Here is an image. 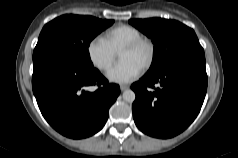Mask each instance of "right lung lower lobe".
Returning a JSON list of instances; mask_svg holds the SVG:
<instances>
[{
	"label": "right lung lower lobe",
	"instance_id": "1",
	"mask_svg": "<svg viewBox=\"0 0 238 158\" xmlns=\"http://www.w3.org/2000/svg\"><path fill=\"white\" fill-rule=\"evenodd\" d=\"M32 88L47 122L62 135L80 139L100 131L109 108L120 94L96 68L78 65L56 53L44 52L33 58ZM97 85L95 92L85 91Z\"/></svg>",
	"mask_w": 238,
	"mask_h": 158
}]
</instances>
